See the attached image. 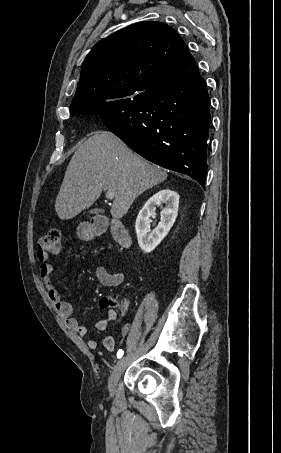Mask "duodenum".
Here are the masks:
<instances>
[{"instance_id":"410a0bca","label":"duodenum","mask_w":281,"mask_h":453,"mask_svg":"<svg viewBox=\"0 0 281 453\" xmlns=\"http://www.w3.org/2000/svg\"><path fill=\"white\" fill-rule=\"evenodd\" d=\"M107 229V224L103 220L96 221L92 228L91 232L94 235H100ZM111 233L114 239L123 246H128L130 243L129 235L124 228V226L119 222H113L110 226Z\"/></svg>"}]
</instances>
